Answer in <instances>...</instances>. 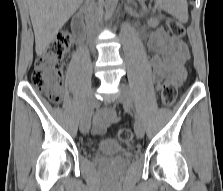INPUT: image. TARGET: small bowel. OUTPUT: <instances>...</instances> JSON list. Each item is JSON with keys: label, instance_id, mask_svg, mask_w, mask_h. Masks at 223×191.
<instances>
[{"label": "small bowel", "instance_id": "1", "mask_svg": "<svg viewBox=\"0 0 223 191\" xmlns=\"http://www.w3.org/2000/svg\"><path fill=\"white\" fill-rule=\"evenodd\" d=\"M148 27L154 29L149 33L147 46L154 53L150 66L153 70L156 89L162 88L165 79L181 84L186 76L185 62L190 57L186 44L161 29H155L157 21L154 19L148 22ZM117 120L118 114L115 108L101 107L93 117L92 131L96 135L102 134Z\"/></svg>", "mask_w": 223, "mask_h": 191}]
</instances>
